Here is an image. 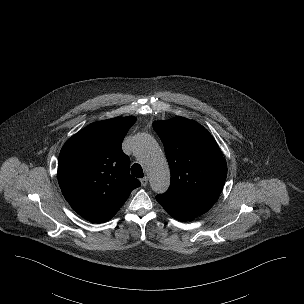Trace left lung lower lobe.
<instances>
[{"label": "left lung lower lobe", "mask_w": 304, "mask_h": 304, "mask_svg": "<svg viewBox=\"0 0 304 304\" xmlns=\"http://www.w3.org/2000/svg\"><path fill=\"white\" fill-rule=\"evenodd\" d=\"M156 200L163 206V208L167 211L169 215H171L173 218L180 220V221H186L191 220L195 218L196 216L193 214H190L177 206H174L172 204H169L159 198H156Z\"/></svg>", "instance_id": "left-lung-lower-lobe-1"}]
</instances>
